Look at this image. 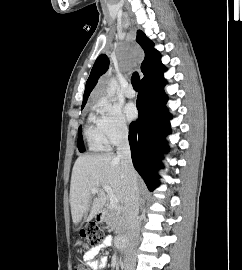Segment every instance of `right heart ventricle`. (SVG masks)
Returning <instances> with one entry per match:
<instances>
[{"mask_svg":"<svg viewBox=\"0 0 242 270\" xmlns=\"http://www.w3.org/2000/svg\"><path fill=\"white\" fill-rule=\"evenodd\" d=\"M84 134L91 151H103L108 148L106 138L100 126L99 116L96 114H89Z\"/></svg>","mask_w":242,"mask_h":270,"instance_id":"1","label":"right heart ventricle"}]
</instances>
